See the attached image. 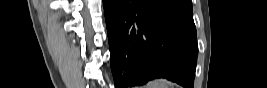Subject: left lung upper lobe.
Returning a JSON list of instances; mask_svg holds the SVG:
<instances>
[{"instance_id": "left-lung-upper-lobe-1", "label": "left lung upper lobe", "mask_w": 267, "mask_h": 88, "mask_svg": "<svg viewBox=\"0 0 267 88\" xmlns=\"http://www.w3.org/2000/svg\"><path fill=\"white\" fill-rule=\"evenodd\" d=\"M181 1H183V2H185V3L192 4V3H191V0H181Z\"/></svg>"}]
</instances>
